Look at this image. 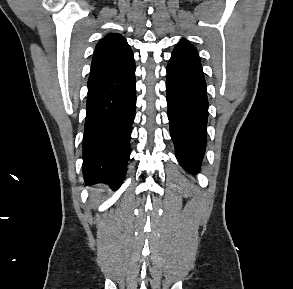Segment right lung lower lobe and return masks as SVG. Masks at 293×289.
Instances as JSON below:
<instances>
[{
	"instance_id": "1",
	"label": "right lung lower lobe",
	"mask_w": 293,
	"mask_h": 289,
	"mask_svg": "<svg viewBox=\"0 0 293 289\" xmlns=\"http://www.w3.org/2000/svg\"><path fill=\"white\" fill-rule=\"evenodd\" d=\"M136 81L127 80L88 93L83 138V177L87 185L118 189L130 156Z\"/></svg>"
}]
</instances>
